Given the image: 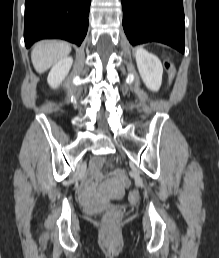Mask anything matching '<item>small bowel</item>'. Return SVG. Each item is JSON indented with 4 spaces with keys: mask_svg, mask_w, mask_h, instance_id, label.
Listing matches in <instances>:
<instances>
[{
    "mask_svg": "<svg viewBox=\"0 0 219 258\" xmlns=\"http://www.w3.org/2000/svg\"><path fill=\"white\" fill-rule=\"evenodd\" d=\"M101 164H102L101 158H95L91 164V175H94L99 179L101 178L100 176ZM127 174H128L127 171H118L117 174H112V179H121V181L124 184H132L133 183L132 179H124V176H127ZM95 193H96V187L92 183L90 177H87V179L85 180L82 186V196L85 199H90L94 197Z\"/></svg>",
    "mask_w": 219,
    "mask_h": 258,
    "instance_id": "c3829d8e",
    "label": "small bowel"
}]
</instances>
